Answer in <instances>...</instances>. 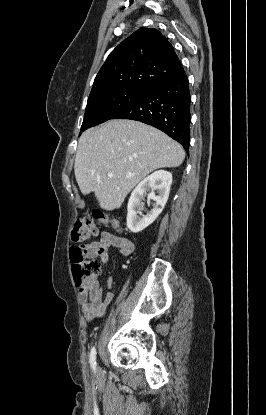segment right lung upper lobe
Instances as JSON below:
<instances>
[{
	"label": "right lung upper lobe",
	"mask_w": 266,
	"mask_h": 415,
	"mask_svg": "<svg viewBox=\"0 0 266 415\" xmlns=\"http://www.w3.org/2000/svg\"><path fill=\"white\" fill-rule=\"evenodd\" d=\"M183 71L173 46L161 32L142 28L109 54L94 80L90 95L124 87L150 90Z\"/></svg>",
	"instance_id": "cb5924a9"
}]
</instances>
